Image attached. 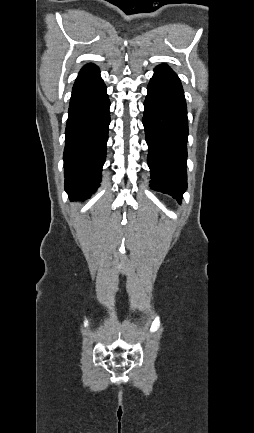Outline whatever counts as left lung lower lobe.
<instances>
[{"label": "left lung lower lobe", "mask_w": 254, "mask_h": 433, "mask_svg": "<svg viewBox=\"0 0 254 433\" xmlns=\"http://www.w3.org/2000/svg\"><path fill=\"white\" fill-rule=\"evenodd\" d=\"M143 125L149 147L150 187L181 201L187 188V107L178 76L165 64L147 87Z\"/></svg>", "instance_id": "left-lung-lower-lobe-1"}]
</instances>
